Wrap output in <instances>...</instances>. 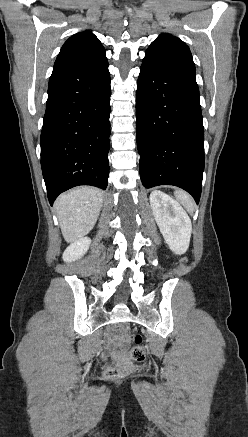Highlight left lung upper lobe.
<instances>
[{
	"instance_id": "obj_1",
	"label": "left lung upper lobe",
	"mask_w": 248,
	"mask_h": 437,
	"mask_svg": "<svg viewBox=\"0 0 248 437\" xmlns=\"http://www.w3.org/2000/svg\"><path fill=\"white\" fill-rule=\"evenodd\" d=\"M195 78V66L188 46L171 34H161L148 47L143 64Z\"/></svg>"
}]
</instances>
